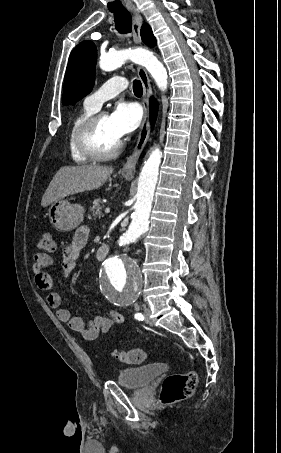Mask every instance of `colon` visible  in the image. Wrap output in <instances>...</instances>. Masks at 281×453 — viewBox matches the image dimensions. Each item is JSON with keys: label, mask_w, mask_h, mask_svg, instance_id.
Wrapping results in <instances>:
<instances>
[{"label": "colon", "mask_w": 281, "mask_h": 453, "mask_svg": "<svg viewBox=\"0 0 281 453\" xmlns=\"http://www.w3.org/2000/svg\"><path fill=\"white\" fill-rule=\"evenodd\" d=\"M54 231L44 230L41 238L37 242V250H47L49 255L56 253ZM115 360L124 363H144L150 357V352L137 349H116L113 351ZM196 373L193 369L185 372L168 375L162 388V403L169 405L174 402L183 401L190 396L192 383Z\"/></svg>", "instance_id": "colon-1"}]
</instances>
